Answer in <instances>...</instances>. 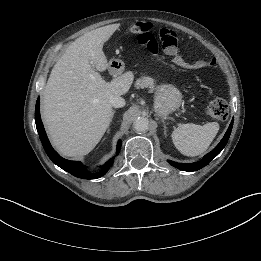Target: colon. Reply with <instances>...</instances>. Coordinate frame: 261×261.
Here are the masks:
<instances>
[{"instance_id": "colon-1", "label": "colon", "mask_w": 261, "mask_h": 261, "mask_svg": "<svg viewBox=\"0 0 261 261\" xmlns=\"http://www.w3.org/2000/svg\"><path fill=\"white\" fill-rule=\"evenodd\" d=\"M151 25L149 23H136L132 26V31L136 34L139 44L146 49L156 54L158 52V43L155 36L151 33ZM160 40L166 53L173 57L174 62L184 69L196 70L214 64L211 58H202L194 62H188L179 55L178 44L179 40L176 34L172 31L162 29L160 31ZM207 114L218 120H225L229 115L227 102L220 97L214 98L207 105Z\"/></svg>"}]
</instances>
